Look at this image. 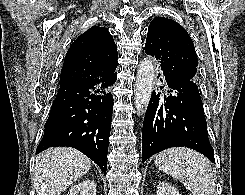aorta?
I'll return each instance as SVG.
<instances>
[{
  "mask_svg": "<svg viewBox=\"0 0 245 195\" xmlns=\"http://www.w3.org/2000/svg\"><path fill=\"white\" fill-rule=\"evenodd\" d=\"M154 80V65L150 58H144L137 70L135 81V107L138 115H144L148 107Z\"/></svg>",
  "mask_w": 245,
  "mask_h": 195,
  "instance_id": "obj_1",
  "label": "aorta"
}]
</instances>
